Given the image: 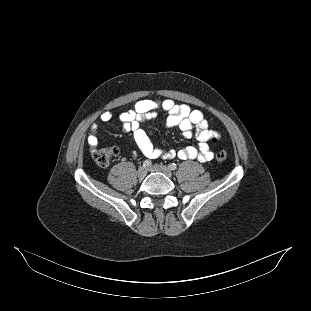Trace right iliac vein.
<instances>
[{
  "instance_id": "obj_1",
  "label": "right iliac vein",
  "mask_w": 311,
  "mask_h": 311,
  "mask_svg": "<svg viewBox=\"0 0 311 311\" xmlns=\"http://www.w3.org/2000/svg\"><path fill=\"white\" fill-rule=\"evenodd\" d=\"M147 175V169L145 167H140L137 171V176L140 179H143Z\"/></svg>"
}]
</instances>
